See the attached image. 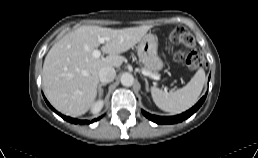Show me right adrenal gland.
<instances>
[{"label":"right adrenal gland","mask_w":258,"mask_h":158,"mask_svg":"<svg viewBox=\"0 0 258 158\" xmlns=\"http://www.w3.org/2000/svg\"><path fill=\"white\" fill-rule=\"evenodd\" d=\"M106 83H101L99 84L98 86V94H99V97H101L103 95V89H102V86H105Z\"/></svg>","instance_id":"right-adrenal-gland-1"}]
</instances>
